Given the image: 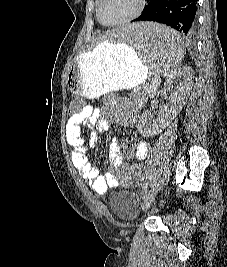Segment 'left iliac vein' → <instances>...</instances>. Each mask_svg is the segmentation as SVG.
I'll list each match as a JSON object with an SVG mask.
<instances>
[{
  "label": "left iliac vein",
  "instance_id": "4c4485c4",
  "mask_svg": "<svg viewBox=\"0 0 227 267\" xmlns=\"http://www.w3.org/2000/svg\"><path fill=\"white\" fill-rule=\"evenodd\" d=\"M158 191V187L157 186H153L150 190H148L144 197H143V203H142V210H146L151 203L153 202L156 194Z\"/></svg>",
  "mask_w": 227,
  "mask_h": 267
}]
</instances>
